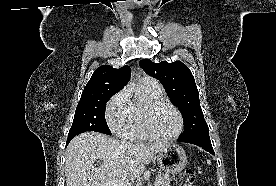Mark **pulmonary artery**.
<instances>
[{"label":"pulmonary artery","instance_id":"e3ab8cb5","mask_svg":"<svg viewBox=\"0 0 276 186\" xmlns=\"http://www.w3.org/2000/svg\"><path fill=\"white\" fill-rule=\"evenodd\" d=\"M142 83L152 87V88H155V89H160L161 88V85L159 84V82L152 78V77H144L142 80H141Z\"/></svg>","mask_w":276,"mask_h":186}]
</instances>
